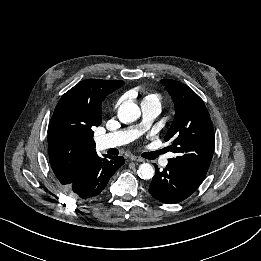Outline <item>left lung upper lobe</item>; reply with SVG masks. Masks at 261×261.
I'll return each instance as SVG.
<instances>
[{
	"label": "left lung upper lobe",
	"mask_w": 261,
	"mask_h": 261,
	"mask_svg": "<svg viewBox=\"0 0 261 261\" xmlns=\"http://www.w3.org/2000/svg\"><path fill=\"white\" fill-rule=\"evenodd\" d=\"M175 104L173 123L165 135L171 141L175 158L168 164L176 168L192 185L199 187L203 181L214 150V130L202 99L187 85L164 79Z\"/></svg>",
	"instance_id": "5c2ea615"
}]
</instances>
